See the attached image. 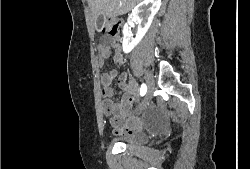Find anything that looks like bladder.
<instances>
[{"mask_svg":"<svg viewBox=\"0 0 250 169\" xmlns=\"http://www.w3.org/2000/svg\"><path fill=\"white\" fill-rule=\"evenodd\" d=\"M150 134L147 133H118V138L115 139L118 143L126 147H146L150 142Z\"/></svg>","mask_w":250,"mask_h":169,"instance_id":"obj_1","label":"bladder"}]
</instances>
